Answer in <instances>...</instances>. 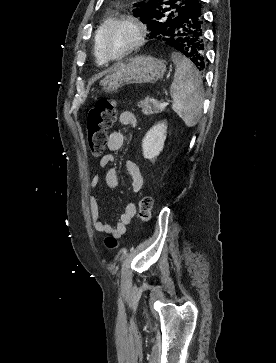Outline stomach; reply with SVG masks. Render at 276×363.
I'll return each mask as SVG.
<instances>
[{"label": "stomach", "instance_id": "obj_1", "mask_svg": "<svg viewBox=\"0 0 276 363\" xmlns=\"http://www.w3.org/2000/svg\"><path fill=\"white\" fill-rule=\"evenodd\" d=\"M165 61L150 56H136L116 65L100 82L106 93L127 84L155 83L166 73Z\"/></svg>", "mask_w": 276, "mask_h": 363}]
</instances>
